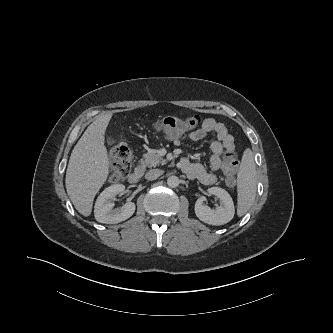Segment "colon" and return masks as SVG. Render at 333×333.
<instances>
[{"label":"colon","mask_w":333,"mask_h":333,"mask_svg":"<svg viewBox=\"0 0 333 333\" xmlns=\"http://www.w3.org/2000/svg\"><path fill=\"white\" fill-rule=\"evenodd\" d=\"M199 123L196 116L185 118L167 117L154 123V129L171 138H179L185 132L194 129ZM113 160V168L109 179L111 182H118L126 178L132 169V155L129 147L125 144L114 143L110 150ZM238 168L237 154L234 149L225 151V161L223 171L229 185H234Z\"/></svg>","instance_id":"obj_1"}]
</instances>
